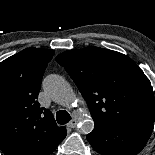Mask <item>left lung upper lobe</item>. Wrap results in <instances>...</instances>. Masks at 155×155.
Wrapping results in <instances>:
<instances>
[{
	"label": "left lung upper lobe",
	"instance_id": "5c2ea615",
	"mask_svg": "<svg viewBox=\"0 0 155 155\" xmlns=\"http://www.w3.org/2000/svg\"><path fill=\"white\" fill-rule=\"evenodd\" d=\"M56 61L76 83L95 123L154 122L151 82L128 56L86 47L61 53Z\"/></svg>",
	"mask_w": 155,
	"mask_h": 155
}]
</instances>
